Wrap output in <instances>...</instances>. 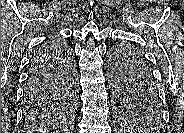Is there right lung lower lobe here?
I'll return each mask as SVG.
<instances>
[{
  "label": "right lung lower lobe",
  "instance_id": "98d812e1",
  "mask_svg": "<svg viewBox=\"0 0 184 133\" xmlns=\"http://www.w3.org/2000/svg\"><path fill=\"white\" fill-rule=\"evenodd\" d=\"M59 50L61 48L49 40L35 52L30 62L24 98L41 99L54 86L61 65Z\"/></svg>",
  "mask_w": 184,
  "mask_h": 133
}]
</instances>
